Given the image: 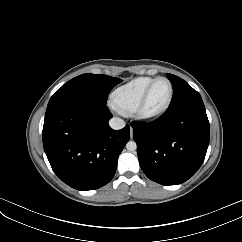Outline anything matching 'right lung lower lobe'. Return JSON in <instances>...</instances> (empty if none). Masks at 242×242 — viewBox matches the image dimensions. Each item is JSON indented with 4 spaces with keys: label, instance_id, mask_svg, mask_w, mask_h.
<instances>
[{
    "label": "right lung lower lobe",
    "instance_id": "1",
    "mask_svg": "<svg viewBox=\"0 0 242 242\" xmlns=\"http://www.w3.org/2000/svg\"><path fill=\"white\" fill-rule=\"evenodd\" d=\"M106 103L66 100L46 110L42 138L55 174L77 190L98 189L113 178L130 127L113 130Z\"/></svg>",
    "mask_w": 242,
    "mask_h": 242
}]
</instances>
